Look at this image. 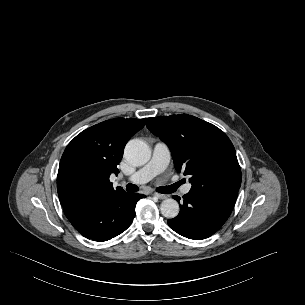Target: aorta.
<instances>
[{"mask_svg":"<svg viewBox=\"0 0 305 305\" xmlns=\"http://www.w3.org/2000/svg\"><path fill=\"white\" fill-rule=\"evenodd\" d=\"M126 160L135 166H141L147 163L150 159V148L142 140H130L124 150ZM179 204L176 200L169 198L162 201L160 211L166 218H175L179 213Z\"/></svg>","mask_w":305,"mask_h":305,"instance_id":"obj_1","label":"aorta"}]
</instances>
